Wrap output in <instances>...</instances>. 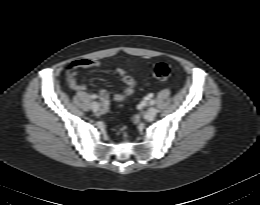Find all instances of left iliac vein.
I'll return each instance as SVG.
<instances>
[{"mask_svg":"<svg viewBox=\"0 0 260 205\" xmlns=\"http://www.w3.org/2000/svg\"><path fill=\"white\" fill-rule=\"evenodd\" d=\"M157 114V110L155 107H150L146 112V117L148 119H153Z\"/></svg>","mask_w":260,"mask_h":205,"instance_id":"4c4485c4","label":"left iliac vein"}]
</instances>
